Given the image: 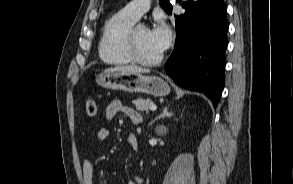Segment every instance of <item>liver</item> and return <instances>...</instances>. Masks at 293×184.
<instances>
[{
  "instance_id": "obj_1",
  "label": "liver",
  "mask_w": 293,
  "mask_h": 184,
  "mask_svg": "<svg viewBox=\"0 0 293 184\" xmlns=\"http://www.w3.org/2000/svg\"><path fill=\"white\" fill-rule=\"evenodd\" d=\"M107 72H130V73H149L150 70L143 69L138 66L127 65V66H116L106 69Z\"/></svg>"
}]
</instances>
